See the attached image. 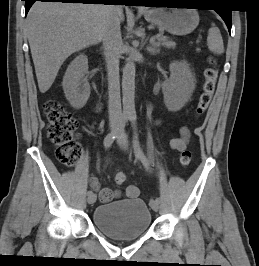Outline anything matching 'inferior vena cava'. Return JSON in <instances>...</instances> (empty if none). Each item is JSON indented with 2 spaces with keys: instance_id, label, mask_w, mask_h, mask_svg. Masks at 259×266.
Listing matches in <instances>:
<instances>
[{
  "instance_id": "1",
  "label": "inferior vena cava",
  "mask_w": 259,
  "mask_h": 266,
  "mask_svg": "<svg viewBox=\"0 0 259 266\" xmlns=\"http://www.w3.org/2000/svg\"><path fill=\"white\" fill-rule=\"evenodd\" d=\"M120 5H110L103 34V49L106 57L108 76V113L109 120L122 122L120 83H119V49L122 44L120 33Z\"/></svg>"
}]
</instances>
